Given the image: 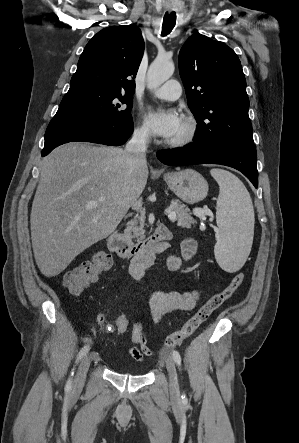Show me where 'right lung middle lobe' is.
<instances>
[{
  "label": "right lung middle lobe",
  "instance_id": "right-lung-middle-lobe-1",
  "mask_svg": "<svg viewBox=\"0 0 299 443\" xmlns=\"http://www.w3.org/2000/svg\"><path fill=\"white\" fill-rule=\"evenodd\" d=\"M131 109L132 94L100 88H70L51 121L75 123L128 119L132 118Z\"/></svg>",
  "mask_w": 299,
  "mask_h": 443
}]
</instances>
